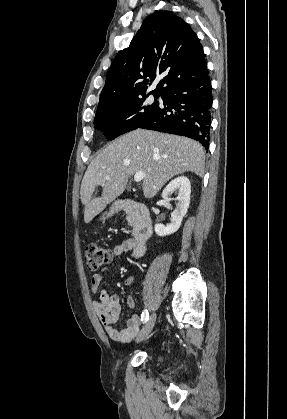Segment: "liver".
Here are the masks:
<instances>
[{
    "label": "liver",
    "mask_w": 287,
    "mask_h": 419,
    "mask_svg": "<svg viewBox=\"0 0 287 419\" xmlns=\"http://www.w3.org/2000/svg\"><path fill=\"white\" fill-rule=\"evenodd\" d=\"M204 163L203 147L192 139L143 129L126 133L108 144L85 172L80 189L84 221L89 223L120 196L137 172L145 173L144 196L153 198L176 175L190 171L202 177ZM96 186L103 189L100 197H93Z\"/></svg>",
    "instance_id": "1"
}]
</instances>
